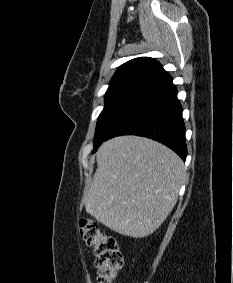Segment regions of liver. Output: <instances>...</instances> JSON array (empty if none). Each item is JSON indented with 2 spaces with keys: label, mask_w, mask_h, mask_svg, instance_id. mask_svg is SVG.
Wrapping results in <instances>:
<instances>
[{
  "label": "liver",
  "mask_w": 233,
  "mask_h": 283,
  "mask_svg": "<svg viewBox=\"0 0 233 283\" xmlns=\"http://www.w3.org/2000/svg\"><path fill=\"white\" fill-rule=\"evenodd\" d=\"M96 161L84 197L87 213L133 238L157 230L174 208L185 180L182 159L152 139L119 136L100 146Z\"/></svg>",
  "instance_id": "1"
}]
</instances>
